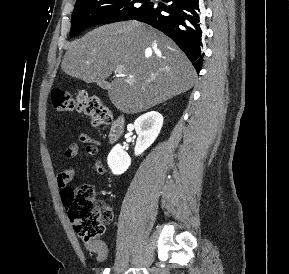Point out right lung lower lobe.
<instances>
[{
	"label": "right lung lower lobe",
	"instance_id": "obj_1",
	"mask_svg": "<svg viewBox=\"0 0 289 274\" xmlns=\"http://www.w3.org/2000/svg\"><path fill=\"white\" fill-rule=\"evenodd\" d=\"M163 1L171 4L167 7L152 3L146 11L134 19L145 22L172 38L199 73L204 55L201 42L203 15L200 0Z\"/></svg>",
	"mask_w": 289,
	"mask_h": 274
}]
</instances>
